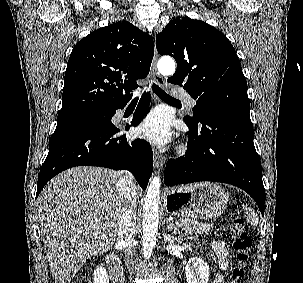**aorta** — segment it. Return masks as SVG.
Here are the masks:
<instances>
[{
	"label": "aorta",
	"instance_id": "obj_1",
	"mask_svg": "<svg viewBox=\"0 0 303 283\" xmlns=\"http://www.w3.org/2000/svg\"><path fill=\"white\" fill-rule=\"evenodd\" d=\"M157 67L158 71L164 76H171L176 70L175 62L169 56L162 57L158 61ZM160 184V177L154 176L147 188L144 199L142 249L146 260L152 255L158 235Z\"/></svg>",
	"mask_w": 303,
	"mask_h": 283
}]
</instances>
